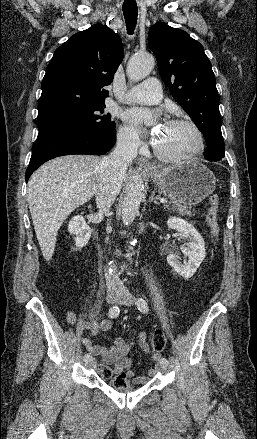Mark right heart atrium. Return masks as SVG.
<instances>
[{"instance_id": "right-heart-atrium-1", "label": "right heart atrium", "mask_w": 257, "mask_h": 439, "mask_svg": "<svg viewBox=\"0 0 257 439\" xmlns=\"http://www.w3.org/2000/svg\"><path fill=\"white\" fill-rule=\"evenodd\" d=\"M117 144L119 148L128 155L136 154L141 146V142L134 130L126 125L119 128Z\"/></svg>"}]
</instances>
